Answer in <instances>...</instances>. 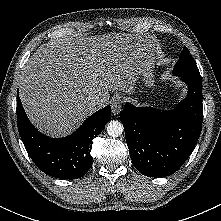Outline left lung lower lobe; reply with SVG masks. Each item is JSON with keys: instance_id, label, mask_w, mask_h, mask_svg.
I'll use <instances>...</instances> for the list:
<instances>
[{"instance_id": "left-lung-lower-lobe-1", "label": "left lung lower lobe", "mask_w": 221, "mask_h": 221, "mask_svg": "<svg viewBox=\"0 0 221 221\" xmlns=\"http://www.w3.org/2000/svg\"><path fill=\"white\" fill-rule=\"evenodd\" d=\"M180 77L188 85V94L173 110L128 103L120 113L132 163L143 175L163 177L179 170L200 136L201 76Z\"/></svg>"}]
</instances>
